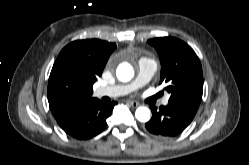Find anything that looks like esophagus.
I'll return each mask as SVG.
<instances>
[{"label":"esophagus","instance_id":"obj_1","mask_svg":"<svg viewBox=\"0 0 249 165\" xmlns=\"http://www.w3.org/2000/svg\"><path fill=\"white\" fill-rule=\"evenodd\" d=\"M127 103L130 105V106H132L133 108H136V107H138L140 104L138 103V102H136V101H127Z\"/></svg>","mask_w":249,"mask_h":165}]
</instances>
